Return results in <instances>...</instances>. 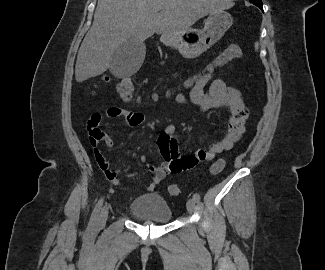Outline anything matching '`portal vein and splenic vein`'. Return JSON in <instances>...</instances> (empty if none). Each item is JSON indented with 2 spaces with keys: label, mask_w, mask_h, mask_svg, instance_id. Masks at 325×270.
I'll return each instance as SVG.
<instances>
[{
  "label": "portal vein and splenic vein",
  "mask_w": 325,
  "mask_h": 270,
  "mask_svg": "<svg viewBox=\"0 0 325 270\" xmlns=\"http://www.w3.org/2000/svg\"><path fill=\"white\" fill-rule=\"evenodd\" d=\"M161 9H162V8H161V7H159L157 10H158V11H160Z\"/></svg>",
  "instance_id": "portal-vein-and-splenic-vein-1"
}]
</instances>
